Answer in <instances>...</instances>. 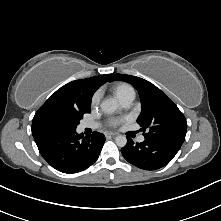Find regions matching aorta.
Segmentation results:
<instances>
[{"mask_svg":"<svg viewBox=\"0 0 221 221\" xmlns=\"http://www.w3.org/2000/svg\"><path fill=\"white\" fill-rule=\"evenodd\" d=\"M118 108V103L114 99H106L101 103V109L107 114L115 112ZM115 143L119 147H124L127 144V138L124 135H119L115 138Z\"/></svg>","mask_w":221,"mask_h":221,"instance_id":"obj_1","label":"aorta"}]
</instances>
